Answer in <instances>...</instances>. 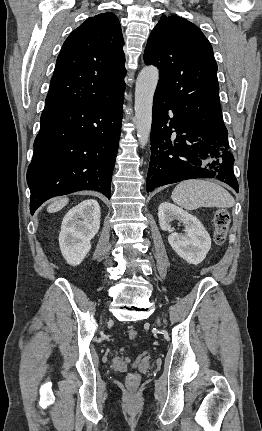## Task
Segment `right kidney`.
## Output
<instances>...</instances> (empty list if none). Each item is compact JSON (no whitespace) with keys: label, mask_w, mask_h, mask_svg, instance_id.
<instances>
[{"label":"right kidney","mask_w":262,"mask_h":431,"mask_svg":"<svg viewBox=\"0 0 262 431\" xmlns=\"http://www.w3.org/2000/svg\"><path fill=\"white\" fill-rule=\"evenodd\" d=\"M99 227L100 206L96 200H84L68 211L59 234L60 249L68 264L77 266L83 261Z\"/></svg>","instance_id":"obj_1"}]
</instances>
